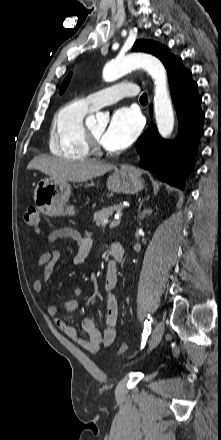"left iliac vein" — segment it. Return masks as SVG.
Instances as JSON below:
<instances>
[{
	"label": "left iliac vein",
	"instance_id": "1",
	"mask_svg": "<svg viewBox=\"0 0 221 440\" xmlns=\"http://www.w3.org/2000/svg\"><path fill=\"white\" fill-rule=\"evenodd\" d=\"M163 334H164V323L160 321L157 323V325L155 326L152 332L150 349L154 348L161 341Z\"/></svg>",
	"mask_w": 221,
	"mask_h": 440
}]
</instances>
